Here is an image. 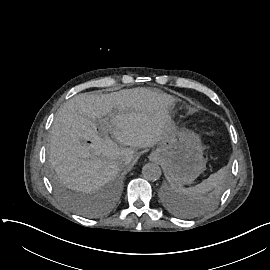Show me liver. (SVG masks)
<instances>
[{"label":"liver","mask_w":270,"mask_h":270,"mask_svg":"<svg viewBox=\"0 0 270 270\" xmlns=\"http://www.w3.org/2000/svg\"><path fill=\"white\" fill-rule=\"evenodd\" d=\"M174 104L173 97L145 88L75 95L51 127L49 163L69 187L98 190L133 161L135 149L161 144L176 131L165 115ZM104 116L107 124L100 122ZM100 125L113 127L111 134L99 136Z\"/></svg>","instance_id":"1"}]
</instances>
